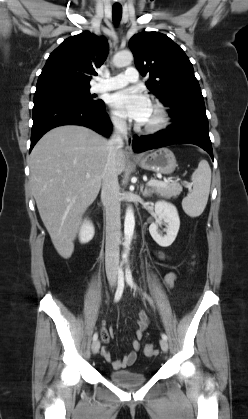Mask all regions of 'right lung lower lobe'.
<instances>
[{"mask_svg": "<svg viewBox=\"0 0 248 419\" xmlns=\"http://www.w3.org/2000/svg\"><path fill=\"white\" fill-rule=\"evenodd\" d=\"M61 125L89 127L105 136L111 133V122L105 106L96 108L81 102L55 99L34 103L30 151L50 129Z\"/></svg>", "mask_w": 248, "mask_h": 419, "instance_id": "obj_1", "label": "right lung lower lobe"}]
</instances>
